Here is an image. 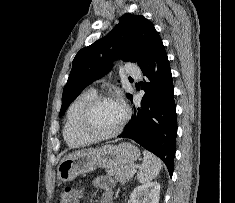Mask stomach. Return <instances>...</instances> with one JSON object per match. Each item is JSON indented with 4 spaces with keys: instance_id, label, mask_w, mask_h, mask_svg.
Masks as SVG:
<instances>
[{
    "instance_id": "obj_1",
    "label": "stomach",
    "mask_w": 235,
    "mask_h": 203,
    "mask_svg": "<svg viewBox=\"0 0 235 203\" xmlns=\"http://www.w3.org/2000/svg\"><path fill=\"white\" fill-rule=\"evenodd\" d=\"M140 156L133 144L122 142L95 149H85L65 156L57 168L58 179L67 182L96 168H113L132 164Z\"/></svg>"
}]
</instances>
